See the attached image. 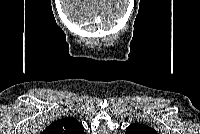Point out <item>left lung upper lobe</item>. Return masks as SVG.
<instances>
[{
	"label": "left lung upper lobe",
	"mask_w": 200,
	"mask_h": 134,
	"mask_svg": "<svg viewBox=\"0 0 200 134\" xmlns=\"http://www.w3.org/2000/svg\"><path fill=\"white\" fill-rule=\"evenodd\" d=\"M126 134H156V131L149 126L134 123L126 128Z\"/></svg>",
	"instance_id": "obj_1"
}]
</instances>
